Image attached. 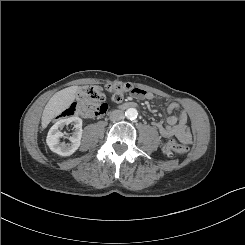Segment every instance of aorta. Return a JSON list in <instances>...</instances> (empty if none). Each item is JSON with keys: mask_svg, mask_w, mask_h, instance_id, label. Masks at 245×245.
I'll list each match as a JSON object with an SVG mask.
<instances>
[{"mask_svg": "<svg viewBox=\"0 0 245 245\" xmlns=\"http://www.w3.org/2000/svg\"><path fill=\"white\" fill-rule=\"evenodd\" d=\"M125 116L128 119L134 120L138 116V111L135 108H129V109L126 110Z\"/></svg>", "mask_w": 245, "mask_h": 245, "instance_id": "obj_1", "label": "aorta"}]
</instances>
